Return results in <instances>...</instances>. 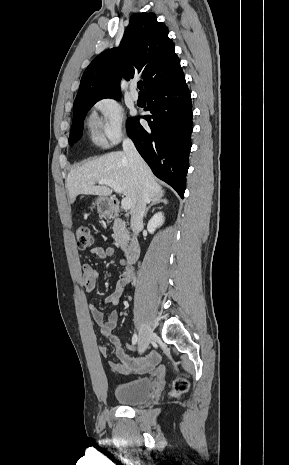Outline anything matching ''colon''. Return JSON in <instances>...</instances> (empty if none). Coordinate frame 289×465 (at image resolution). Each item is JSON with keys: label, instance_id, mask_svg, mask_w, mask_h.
<instances>
[{"label": "colon", "instance_id": "5ec220e1", "mask_svg": "<svg viewBox=\"0 0 289 465\" xmlns=\"http://www.w3.org/2000/svg\"><path fill=\"white\" fill-rule=\"evenodd\" d=\"M76 241L80 250L91 249L95 244L91 229L87 226H81L76 230ZM187 388L188 384L184 380L176 383V392L178 393L185 392Z\"/></svg>", "mask_w": 289, "mask_h": 465}]
</instances>
